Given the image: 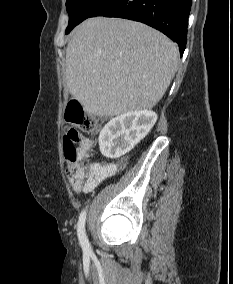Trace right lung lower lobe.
Listing matches in <instances>:
<instances>
[{"mask_svg": "<svg viewBox=\"0 0 233 284\" xmlns=\"http://www.w3.org/2000/svg\"><path fill=\"white\" fill-rule=\"evenodd\" d=\"M191 4L192 0H108L89 17H120L145 23L177 42L182 56Z\"/></svg>", "mask_w": 233, "mask_h": 284, "instance_id": "obj_1", "label": "right lung lower lobe"}]
</instances>
